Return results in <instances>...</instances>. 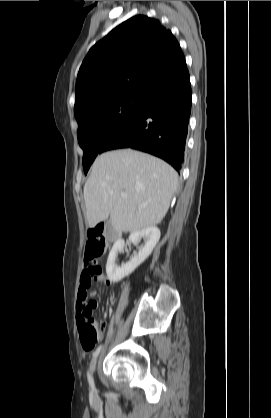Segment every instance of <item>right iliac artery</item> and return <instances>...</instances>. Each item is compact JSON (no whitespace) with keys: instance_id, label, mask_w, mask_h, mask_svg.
Segmentation results:
<instances>
[{"instance_id":"right-iliac-artery-1","label":"right iliac artery","mask_w":271,"mask_h":418,"mask_svg":"<svg viewBox=\"0 0 271 418\" xmlns=\"http://www.w3.org/2000/svg\"><path fill=\"white\" fill-rule=\"evenodd\" d=\"M101 349H102V345H100L95 351H94V353H93V359H95L98 355H99V353H100V351H101ZM88 381H89V385H90V387H91V389L92 390H94V381H93V378H92V376H91V374L88 372Z\"/></svg>"}]
</instances>
